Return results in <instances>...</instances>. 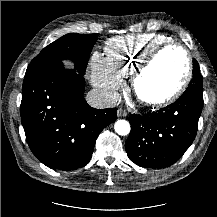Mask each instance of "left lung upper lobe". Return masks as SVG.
Instances as JSON below:
<instances>
[{
  "instance_id": "left-lung-upper-lobe-1",
  "label": "left lung upper lobe",
  "mask_w": 217,
  "mask_h": 217,
  "mask_svg": "<svg viewBox=\"0 0 217 217\" xmlns=\"http://www.w3.org/2000/svg\"><path fill=\"white\" fill-rule=\"evenodd\" d=\"M202 80H203V77L200 74L198 62L194 59L193 60V79L190 81L187 89H194L196 91L203 92Z\"/></svg>"
}]
</instances>
